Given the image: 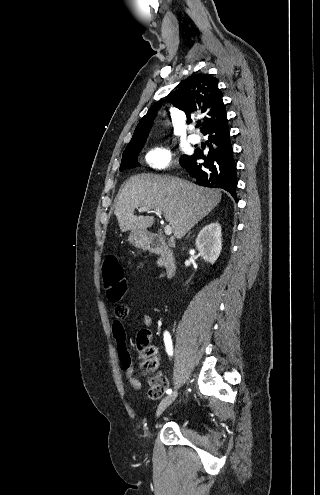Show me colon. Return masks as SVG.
Wrapping results in <instances>:
<instances>
[{"label":"colon","mask_w":320,"mask_h":495,"mask_svg":"<svg viewBox=\"0 0 320 495\" xmlns=\"http://www.w3.org/2000/svg\"><path fill=\"white\" fill-rule=\"evenodd\" d=\"M104 287L107 297L112 302H119L127 289L126 277L123 272L119 259L115 255H108L102 267ZM123 305L118 304L116 309L119 311ZM149 332L143 330L138 334L136 348L141 358V366L144 374L154 371L158 366V357L156 350L148 345ZM126 362L129 359L124 358ZM150 387L148 396L152 400L161 398L167 389L166 379L158 374L153 375L149 381Z\"/></svg>","instance_id":"obj_1"}]
</instances>
